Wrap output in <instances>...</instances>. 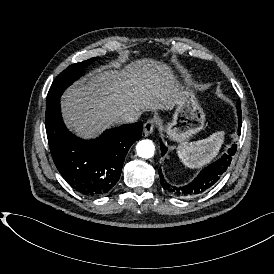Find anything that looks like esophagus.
I'll return each mask as SVG.
<instances>
[{
    "instance_id": "esophagus-1",
    "label": "esophagus",
    "mask_w": 274,
    "mask_h": 274,
    "mask_svg": "<svg viewBox=\"0 0 274 274\" xmlns=\"http://www.w3.org/2000/svg\"><path fill=\"white\" fill-rule=\"evenodd\" d=\"M154 131V121L148 120L145 122L143 126V132L145 135H150Z\"/></svg>"
}]
</instances>
